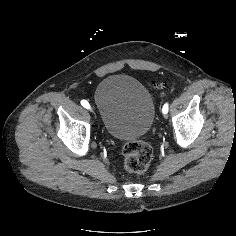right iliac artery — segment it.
I'll list each match as a JSON object with an SVG mask.
<instances>
[{"mask_svg":"<svg viewBox=\"0 0 236 236\" xmlns=\"http://www.w3.org/2000/svg\"><path fill=\"white\" fill-rule=\"evenodd\" d=\"M81 105L88 109V112L92 115V118H93V121L94 122H97L98 121V118H97V114H96V111L90 107V104L88 101L86 100H81Z\"/></svg>","mask_w":236,"mask_h":236,"instance_id":"obj_1","label":"right iliac artery"}]
</instances>
